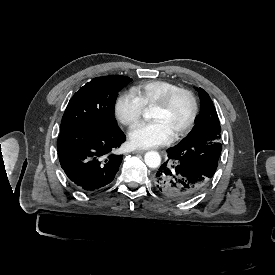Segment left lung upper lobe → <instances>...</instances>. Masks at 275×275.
Wrapping results in <instances>:
<instances>
[{"label": "left lung upper lobe", "mask_w": 275, "mask_h": 275, "mask_svg": "<svg viewBox=\"0 0 275 275\" xmlns=\"http://www.w3.org/2000/svg\"><path fill=\"white\" fill-rule=\"evenodd\" d=\"M198 91L201 111L195 119V126L187 137L167 151L172 158L211 178L222 148L221 127L211 98L203 89Z\"/></svg>", "instance_id": "1"}]
</instances>
